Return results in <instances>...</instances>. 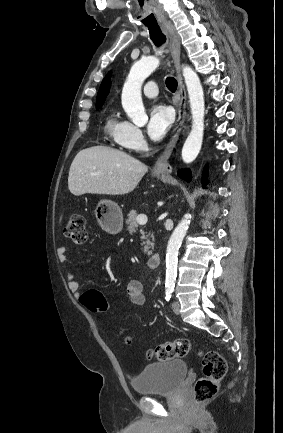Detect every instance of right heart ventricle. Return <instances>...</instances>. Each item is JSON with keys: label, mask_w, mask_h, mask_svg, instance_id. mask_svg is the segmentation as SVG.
Here are the masks:
<instances>
[{"label": "right heart ventricle", "mask_w": 283, "mask_h": 433, "mask_svg": "<svg viewBox=\"0 0 283 433\" xmlns=\"http://www.w3.org/2000/svg\"><path fill=\"white\" fill-rule=\"evenodd\" d=\"M124 126L125 122L121 121L116 113L112 112L107 115L104 123V129L109 135L116 138L122 132Z\"/></svg>", "instance_id": "right-heart-ventricle-1"}]
</instances>
